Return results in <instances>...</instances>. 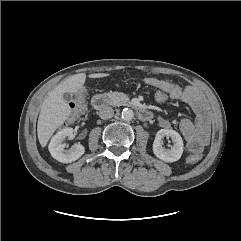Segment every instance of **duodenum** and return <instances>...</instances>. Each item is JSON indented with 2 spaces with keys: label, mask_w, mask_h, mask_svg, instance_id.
Wrapping results in <instances>:
<instances>
[{
  "label": "duodenum",
  "mask_w": 241,
  "mask_h": 241,
  "mask_svg": "<svg viewBox=\"0 0 241 241\" xmlns=\"http://www.w3.org/2000/svg\"><path fill=\"white\" fill-rule=\"evenodd\" d=\"M92 103H93V106L95 109L101 110V109L105 108L107 106V104L109 103V97L104 94H98V95L94 96ZM136 112H137L138 117L142 121H148L151 119V113L147 109L137 107Z\"/></svg>",
  "instance_id": "duodenum-1"
}]
</instances>
